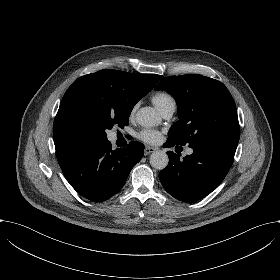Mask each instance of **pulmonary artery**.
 Returning <instances> with one entry per match:
<instances>
[{"label": "pulmonary artery", "instance_id": "pulmonary-artery-1", "mask_svg": "<svg viewBox=\"0 0 280 280\" xmlns=\"http://www.w3.org/2000/svg\"><path fill=\"white\" fill-rule=\"evenodd\" d=\"M174 111H175V108L170 107V108L164 110L162 114H163L164 118L168 119L173 115Z\"/></svg>", "mask_w": 280, "mask_h": 280}]
</instances>
